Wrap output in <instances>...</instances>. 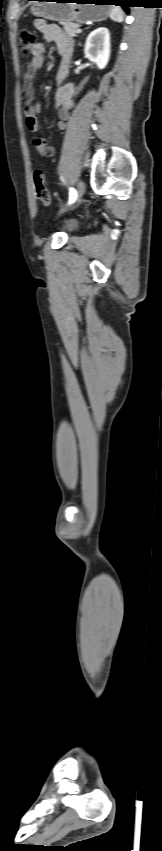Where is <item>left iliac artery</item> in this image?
Instances as JSON below:
<instances>
[{
    "label": "left iliac artery",
    "instance_id": "obj_1",
    "mask_svg": "<svg viewBox=\"0 0 162 851\" xmlns=\"http://www.w3.org/2000/svg\"><path fill=\"white\" fill-rule=\"evenodd\" d=\"M76 199H77V192H76V190H75L74 188H70V191H69V204H71V203L75 202V200H76Z\"/></svg>",
    "mask_w": 162,
    "mask_h": 851
}]
</instances>
